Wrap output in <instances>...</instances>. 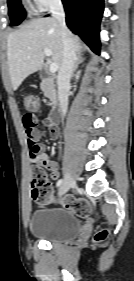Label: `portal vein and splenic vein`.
I'll return each instance as SVG.
<instances>
[{"instance_id":"portal-vein-and-splenic-vein-1","label":"portal vein and splenic vein","mask_w":134,"mask_h":281,"mask_svg":"<svg viewBox=\"0 0 134 281\" xmlns=\"http://www.w3.org/2000/svg\"><path fill=\"white\" fill-rule=\"evenodd\" d=\"M44 53L47 57L52 55V51L50 49H44ZM49 70L51 73H55L58 70V65L56 63H51Z\"/></svg>"}]
</instances>
